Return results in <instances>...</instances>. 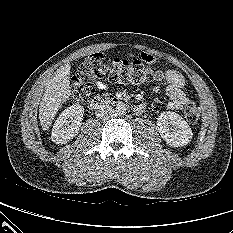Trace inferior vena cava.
Returning <instances> with one entry per match:
<instances>
[{
	"mask_svg": "<svg viewBox=\"0 0 233 233\" xmlns=\"http://www.w3.org/2000/svg\"><path fill=\"white\" fill-rule=\"evenodd\" d=\"M114 109L109 105H99L96 110V116L100 119H106L112 116Z\"/></svg>",
	"mask_w": 233,
	"mask_h": 233,
	"instance_id": "inferior-vena-cava-1",
	"label": "inferior vena cava"
}]
</instances>
